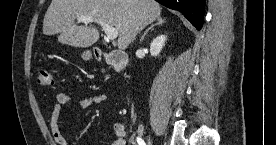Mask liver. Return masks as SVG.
I'll return each instance as SVG.
<instances>
[{"label":"liver","mask_w":276,"mask_h":145,"mask_svg":"<svg viewBox=\"0 0 276 145\" xmlns=\"http://www.w3.org/2000/svg\"><path fill=\"white\" fill-rule=\"evenodd\" d=\"M161 6L154 0H52L43 20V34H60L59 42L86 48L99 39L92 26H79L75 19L92 16L118 30V48L125 50L148 24L161 18Z\"/></svg>","instance_id":"1"}]
</instances>
